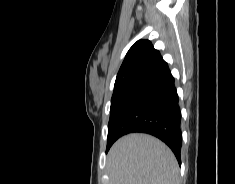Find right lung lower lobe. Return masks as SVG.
I'll return each instance as SVG.
<instances>
[{
  "label": "right lung lower lobe",
  "instance_id": "98d812e1",
  "mask_svg": "<svg viewBox=\"0 0 235 184\" xmlns=\"http://www.w3.org/2000/svg\"><path fill=\"white\" fill-rule=\"evenodd\" d=\"M180 124L181 112L174 78L163 61L126 89L108 127L114 142L133 132L159 138L181 164Z\"/></svg>",
  "mask_w": 235,
  "mask_h": 184
}]
</instances>
